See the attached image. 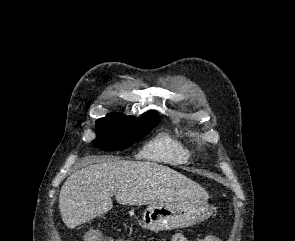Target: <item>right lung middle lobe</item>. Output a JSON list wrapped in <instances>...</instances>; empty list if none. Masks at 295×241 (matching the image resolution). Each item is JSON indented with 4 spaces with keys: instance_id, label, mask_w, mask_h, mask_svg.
<instances>
[{
    "instance_id": "right-lung-middle-lobe-1",
    "label": "right lung middle lobe",
    "mask_w": 295,
    "mask_h": 241,
    "mask_svg": "<svg viewBox=\"0 0 295 241\" xmlns=\"http://www.w3.org/2000/svg\"><path fill=\"white\" fill-rule=\"evenodd\" d=\"M160 119L143 114L139 119L117 113L107 114L96 122L97 139L92 143L105 150L124 149L150 132Z\"/></svg>"
}]
</instances>
